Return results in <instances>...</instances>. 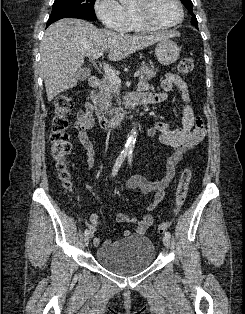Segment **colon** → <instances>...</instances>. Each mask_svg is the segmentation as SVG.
I'll return each mask as SVG.
<instances>
[{
	"label": "colon",
	"instance_id": "obj_1",
	"mask_svg": "<svg viewBox=\"0 0 245 314\" xmlns=\"http://www.w3.org/2000/svg\"><path fill=\"white\" fill-rule=\"evenodd\" d=\"M194 60L191 57L182 59L178 64V72L186 75L193 70ZM73 108V99L69 95H59L54 101V116L49 134L50 153L56 162L59 178L65 188L72 187V174L68 156L72 149V144L67 134V115ZM192 172L184 169L181 173L175 195V212L177 213L187 197ZM171 226V222L165 221L158 225L157 230L163 233Z\"/></svg>",
	"mask_w": 245,
	"mask_h": 314
}]
</instances>
